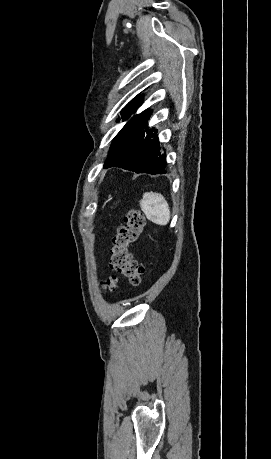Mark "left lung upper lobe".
Wrapping results in <instances>:
<instances>
[{
	"mask_svg": "<svg viewBox=\"0 0 271 459\" xmlns=\"http://www.w3.org/2000/svg\"><path fill=\"white\" fill-rule=\"evenodd\" d=\"M141 104H142V96L139 95L134 100H132L125 108L122 109L121 114H122L123 120L127 119L132 113H134ZM149 112L150 110H145L142 113L133 116L132 118L143 117ZM119 121H120V118H118L117 122Z\"/></svg>",
	"mask_w": 271,
	"mask_h": 459,
	"instance_id": "obj_1",
	"label": "left lung upper lobe"
}]
</instances>
